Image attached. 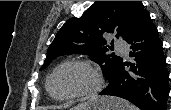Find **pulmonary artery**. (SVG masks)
Listing matches in <instances>:
<instances>
[{
  "label": "pulmonary artery",
  "mask_w": 171,
  "mask_h": 110,
  "mask_svg": "<svg viewBox=\"0 0 171 110\" xmlns=\"http://www.w3.org/2000/svg\"><path fill=\"white\" fill-rule=\"evenodd\" d=\"M117 51L124 56H128V46L123 40H118L115 43Z\"/></svg>",
  "instance_id": "1"
}]
</instances>
